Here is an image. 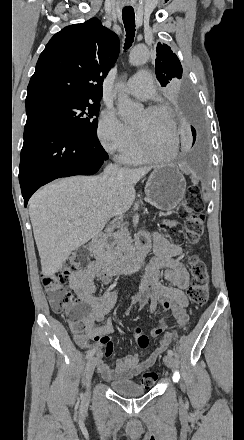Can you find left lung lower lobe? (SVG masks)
<instances>
[{"instance_id": "obj_1", "label": "left lung lower lobe", "mask_w": 244, "mask_h": 440, "mask_svg": "<svg viewBox=\"0 0 244 440\" xmlns=\"http://www.w3.org/2000/svg\"><path fill=\"white\" fill-rule=\"evenodd\" d=\"M181 108L184 111V113L186 114V116L193 122H196V113H195V108L193 105V100L191 99V97H184L181 100ZM191 131H192V135H193V144L195 143L196 140V129L191 126Z\"/></svg>"}]
</instances>
